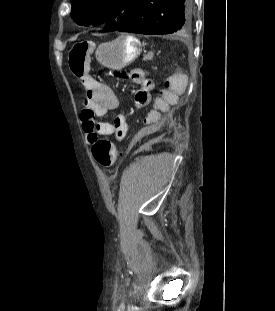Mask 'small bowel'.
I'll list each match as a JSON object with an SVG mask.
<instances>
[{
    "mask_svg": "<svg viewBox=\"0 0 275 311\" xmlns=\"http://www.w3.org/2000/svg\"><path fill=\"white\" fill-rule=\"evenodd\" d=\"M130 77L137 83L139 91H135L136 108H145L143 117L146 127L153 126L154 122H160V116L164 112H171L179 103V98H186L191 81L186 80V73H179L178 69H171L170 73L163 75L159 82V91L156 92L155 81L149 79L148 69H131ZM83 83L88 91V99L82 106L79 117L82 128L89 142L92 137L101 135H112L121 141L129 128L126 117L118 113L112 122H95L94 117H103L107 113L119 108V100L112 88L103 82L87 76Z\"/></svg>",
    "mask_w": 275,
    "mask_h": 311,
    "instance_id": "1",
    "label": "small bowel"
}]
</instances>
